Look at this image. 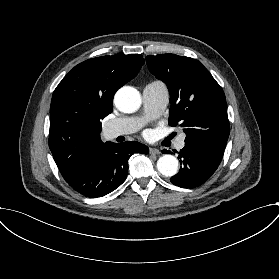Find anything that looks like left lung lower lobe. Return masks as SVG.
<instances>
[{
  "label": "left lung lower lobe",
  "mask_w": 279,
  "mask_h": 279,
  "mask_svg": "<svg viewBox=\"0 0 279 279\" xmlns=\"http://www.w3.org/2000/svg\"><path fill=\"white\" fill-rule=\"evenodd\" d=\"M164 153L170 151L163 150ZM183 166L179 173L171 177L172 184L183 188H195L207 181L218 168L224 149L208 143H186L177 152Z\"/></svg>",
  "instance_id": "0a47b994"
}]
</instances>
